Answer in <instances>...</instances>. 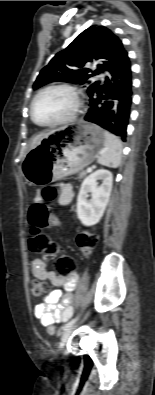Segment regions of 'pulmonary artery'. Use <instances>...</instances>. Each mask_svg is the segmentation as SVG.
I'll use <instances>...</instances> for the list:
<instances>
[{"label":"pulmonary artery","mask_w":155,"mask_h":395,"mask_svg":"<svg viewBox=\"0 0 155 395\" xmlns=\"http://www.w3.org/2000/svg\"><path fill=\"white\" fill-rule=\"evenodd\" d=\"M97 77H98L99 81H100L101 83H103V81H104V76H103V74H100V75L97 76Z\"/></svg>","instance_id":"obj_1"}]
</instances>
